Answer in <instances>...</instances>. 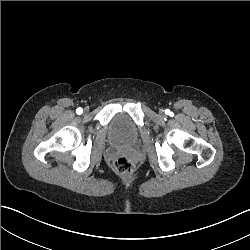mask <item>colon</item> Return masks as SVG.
I'll return each mask as SVG.
<instances>
[{
  "instance_id": "5ec220e1",
  "label": "colon",
  "mask_w": 250,
  "mask_h": 250,
  "mask_svg": "<svg viewBox=\"0 0 250 250\" xmlns=\"http://www.w3.org/2000/svg\"><path fill=\"white\" fill-rule=\"evenodd\" d=\"M114 169L123 178H128L136 169V164L133 160L125 155H120L116 158Z\"/></svg>"
}]
</instances>
